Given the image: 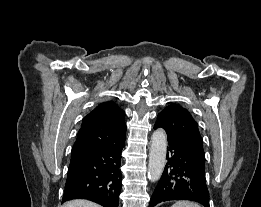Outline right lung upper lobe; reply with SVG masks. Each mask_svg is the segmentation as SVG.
I'll list each match as a JSON object with an SVG mask.
<instances>
[{
    "label": "right lung upper lobe",
    "instance_id": "1",
    "mask_svg": "<svg viewBox=\"0 0 261 207\" xmlns=\"http://www.w3.org/2000/svg\"><path fill=\"white\" fill-rule=\"evenodd\" d=\"M124 111L114 102H103L83 119L71 157L106 148L126 138Z\"/></svg>",
    "mask_w": 261,
    "mask_h": 207
}]
</instances>
